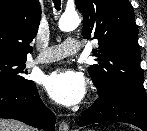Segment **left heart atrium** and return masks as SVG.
<instances>
[{
	"label": "left heart atrium",
	"mask_w": 147,
	"mask_h": 131,
	"mask_svg": "<svg viewBox=\"0 0 147 131\" xmlns=\"http://www.w3.org/2000/svg\"><path fill=\"white\" fill-rule=\"evenodd\" d=\"M44 88L56 102L65 106H73L80 103L85 97L87 82L81 72L61 68L45 78Z\"/></svg>",
	"instance_id": "obj_1"
}]
</instances>
